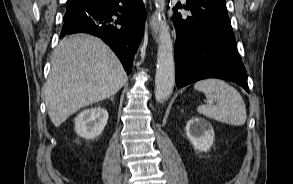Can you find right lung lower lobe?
<instances>
[{"label":"right lung lower lobe","instance_id":"1","mask_svg":"<svg viewBox=\"0 0 293 184\" xmlns=\"http://www.w3.org/2000/svg\"><path fill=\"white\" fill-rule=\"evenodd\" d=\"M145 18L142 0H86L67 9L60 38L77 32L101 38L130 74L134 53L143 36Z\"/></svg>","mask_w":293,"mask_h":184}]
</instances>
